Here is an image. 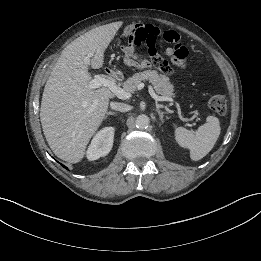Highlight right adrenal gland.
Wrapping results in <instances>:
<instances>
[{
	"label": "right adrenal gland",
	"instance_id": "1",
	"mask_svg": "<svg viewBox=\"0 0 261 261\" xmlns=\"http://www.w3.org/2000/svg\"><path fill=\"white\" fill-rule=\"evenodd\" d=\"M109 115H117V112H107L105 118H107Z\"/></svg>",
	"mask_w": 261,
	"mask_h": 261
}]
</instances>
